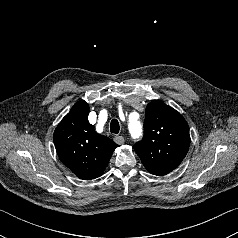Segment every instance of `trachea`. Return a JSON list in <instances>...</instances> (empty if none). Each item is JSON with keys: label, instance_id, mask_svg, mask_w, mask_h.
Returning a JSON list of instances; mask_svg holds the SVG:
<instances>
[{"label": "trachea", "instance_id": "obj_1", "mask_svg": "<svg viewBox=\"0 0 238 238\" xmlns=\"http://www.w3.org/2000/svg\"><path fill=\"white\" fill-rule=\"evenodd\" d=\"M120 130L119 122L117 119H113L110 124V131L112 133L118 134Z\"/></svg>", "mask_w": 238, "mask_h": 238}]
</instances>
